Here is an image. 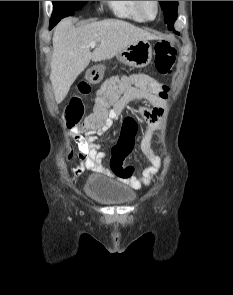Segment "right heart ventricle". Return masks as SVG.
<instances>
[{
	"mask_svg": "<svg viewBox=\"0 0 233 295\" xmlns=\"http://www.w3.org/2000/svg\"><path fill=\"white\" fill-rule=\"evenodd\" d=\"M113 14L136 22L145 21L136 9L135 1H106Z\"/></svg>",
	"mask_w": 233,
	"mask_h": 295,
	"instance_id": "e07e8e85",
	"label": "right heart ventricle"
}]
</instances>
